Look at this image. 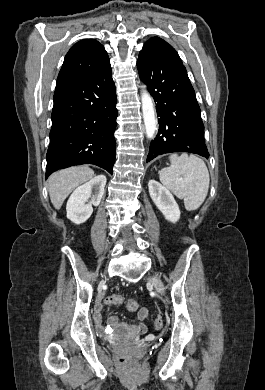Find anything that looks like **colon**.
Returning <instances> with one entry per match:
<instances>
[{"instance_id": "1", "label": "colon", "mask_w": 265, "mask_h": 390, "mask_svg": "<svg viewBox=\"0 0 265 390\" xmlns=\"http://www.w3.org/2000/svg\"><path fill=\"white\" fill-rule=\"evenodd\" d=\"M106 303L108 305H117L121 303H125L126 307L129 311H136L138 309V303L135 299L126 298L120 294L110 295L106 298ZM163 326V321L160 318L154 320L153 327L156 330L161 329Z\"/></svg>"}]
</instances>
